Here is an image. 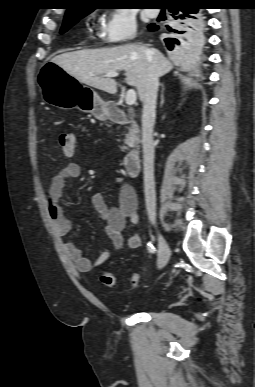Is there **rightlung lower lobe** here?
I'll return each instance as SVG.
<instances>
[{"label": "right lung lower lobe", "mask_w": 255, "mask_h": 387, "mask_svg": "<svg viewBox=\"0 0 255 387\" xmlns=\"http://www.w3.org/2000/svg\"><path fill=\"white\" fill-rule=\"evenodd\" d=\"M168 10L173 21L177 23V30L168 27L175 38L164 39L167 48L197 52L200 48L202 32L200 5L194 0H181L172 3ZM149 29L153 31L157 27L152 24Z\"/></svg>", "instance_id": "right-lung-lower-lobe-1"}]
</instances>
